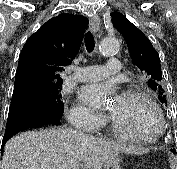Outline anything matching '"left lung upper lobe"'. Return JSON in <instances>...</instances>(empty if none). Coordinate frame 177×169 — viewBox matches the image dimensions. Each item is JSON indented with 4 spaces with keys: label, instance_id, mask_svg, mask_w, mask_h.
Segmentation results:
<instances>
[{
    "label": "left lung upper lobe",
    "instance_id": "obj_1",
    "mask_svg": "<svg viewBox=\"0 0 177 169\" xmlns=\"http://www.w3.org/2000/svg\"><path fill=\"white\" fill-rule=\"evenodd\" d=\"M111 17L123 35L132 61L140 70L146 84L158 95L160 102L167 105L159 54L143 32L129 22L122 13L113 12Z\"/></svg>",
    "mask_w": 177,
    "mask_h": 169
}]
</instances>
